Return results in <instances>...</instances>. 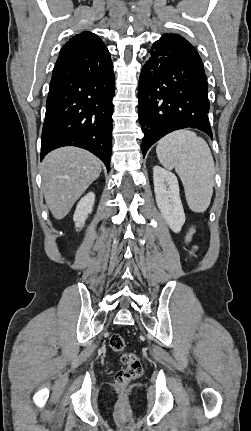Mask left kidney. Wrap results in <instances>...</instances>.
<instances>
[{"mask_svg": "<svg viewBox=\"0 0 251 431\" xmlns=\"http://www.w3.org/2000/svg\"><path fill=\"white\" fill-rule=\"evenodd\" d=\"M154 192L157 206L170 229L178 233L185 222L177 177L170 171L153 167Z\"/></svg>", "mask_w": 251, "mask_h": 431, "instance_id": "1", "label": "left kidney"}]
</instances>
